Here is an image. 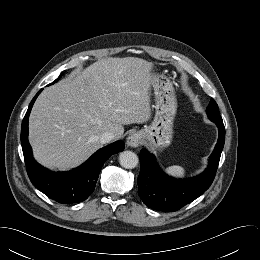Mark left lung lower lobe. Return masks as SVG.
I'll list each match as a JSON object with an SVG mask.
<instances>
[{
    "mask_svg": "<svg viewBox=\"0 0 260 260\" xmlns=\"http://www.w3.org/2000/svg\"><path fill=\"white\" fill-rule=\"evenodd\" d=\"M219 129V138L209 157L207 169L199 176L178 180L164 174L155 157L147 150L140 151L141 170L138 194L148 207L160 211H176L202 195L214 180L225 141L223 121L212 120Z\"/></svg>",
    "mask_w": 260,
    "mask_h": 260,
    "instance_id": "0a47b994",
    "label": "left lung lower lobe"
}]
</instances>
